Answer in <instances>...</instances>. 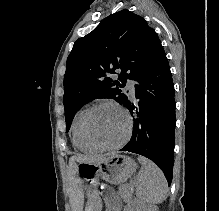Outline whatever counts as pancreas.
I'll list each match as a JSON object with an SVG mask.
<instances>
[{"label":"pancreas","mask_w":219,"mask_h":211,"mask_svg":"<svg viewBox=\"0 0 219 211\" xmlns=\"http://www.w3.org/2000/svg\"><path fill=\"white\" fill-rule=\"evenodd\" d=\"M119 193H121V197H123L124 201H127L129 203L131 199V190L130 188H127L126 185H121L119 189Z\"/></svg>","instance_id":"1"}]
</instances>
